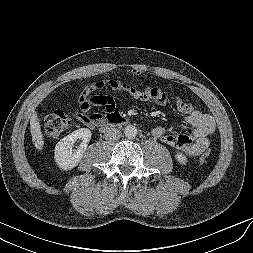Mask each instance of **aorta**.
I'll return each mask as SVG.
<instances>
[{"label":"aorta","instance_id":"aorta-1","mask_svg":"<svg viewBox=\"0 0 253 253\" xmlns=\"http://www.w3.org/2000/svg\"><path fill=\"white\" fill-rule=\"evenodd\" d=\"M137 128L134 125H127L124 129V134L126 138L133 139L137 135Z\"/></svg>","mask_w":253,"mask_h":253}]
</instances>
